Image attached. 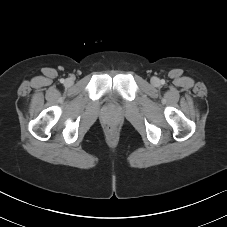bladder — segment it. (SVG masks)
Masks as SVG:
<instances>
[{
  "label": "bladder",
  "instance_id": "31cf9c89",
  "mask_svg": "<svg viewBox=\"0 0 227 227\" xmlns=\"http://www.w3.org/2000/svg\"><path fill=\"white\" fill-rule=\"evenodd\" d=\"M115 96H116V94H115V92H113V91H111V92L108 94V97H109L110 99H114Z\"/></svg>",
  "mask_w": 227,
  "mask_h": 227
}]
</instances>
